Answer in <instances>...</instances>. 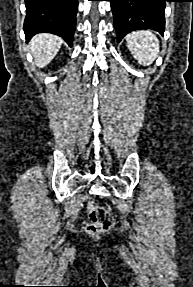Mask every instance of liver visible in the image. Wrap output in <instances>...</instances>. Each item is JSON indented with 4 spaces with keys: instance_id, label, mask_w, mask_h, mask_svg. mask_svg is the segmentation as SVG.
I'll return each mask as SVG.
<instances>
[{
    "instance_id": "liver-1",
    "label": "liver",
    "mask_w": 193,
    "mask_h": 287,
    "mask_svg": "<svg viewBox=\"0 0 193 287\" xmlns=\"http://www.w3.org/2000/svg\"><path fill=\"white\" fill-rule=\"evenodd\" d=\"M62 42L60 37L48 33L34 36L30 45L36 66L40 68L47 65L57 55Z\"/></svg>"
}]
</instances>
